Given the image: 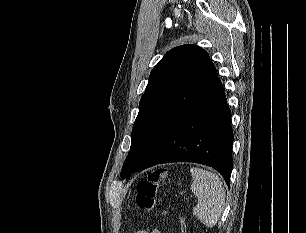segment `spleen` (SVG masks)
Here are the masks:
<instances>
[{
    "label": "spleen",
    "mask_w": 306,
    "mask_h": 233,
    "mask_svg": "<svg viewBox=\"0 0 306 233\" xmlns=\"http://www.w3.org/2000/svg\"><path fill=\"white\" fill-rule=\"evenodd\" d=\"M191 191L198 199L193 208L194 216L206 227H214L223 212L225 190L220 177L207 170L193 167Z\"/></svg>",
    "instance_id": "obj_1"
}]
</instances>
